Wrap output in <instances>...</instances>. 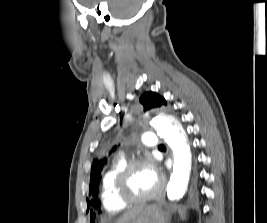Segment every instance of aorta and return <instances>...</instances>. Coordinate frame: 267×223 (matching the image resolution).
Wrapping results in <instances>:
<instances>
[{
  "label": "aorta",
  "mask_w": 267,
  "mask_h": 223,
  "mask_svg": "<svg viewBox=\"0 0 267 223\" xmlns=\"http://www.w3.org/2000/svg\"><path fill=\"white\" fill-rule=\"evenodd\" d=\"M150 125L173 151V172L166 188L169 201L182 198L186 192L191 172V152L181 123L171 115H157Z\"/></svg>",
  "instance_id": "1"
}]
</instances>
